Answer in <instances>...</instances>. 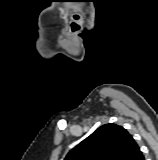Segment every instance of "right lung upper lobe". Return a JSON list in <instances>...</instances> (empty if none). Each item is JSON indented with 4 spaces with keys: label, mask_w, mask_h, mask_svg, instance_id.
Returning a JSON list of instances; mask_svg holds the SVG:
<instances>
[{
    "label": "right lung upper lobe",
    "mask_w": 158,
    "mask_h": 160,
    "mask_svg": "<svg viewBox=\"0 0 158 160\" xmlns=\"http://www.w3.org/2000/svg\"><path fill=\"white\" fill-rule=\"evenodd\" d=\"M141 154L126 129L105 124L73 148L64 160H136Z\"/></svg>",
    "instance_id": "cb5924a9"
}]
</instances>
